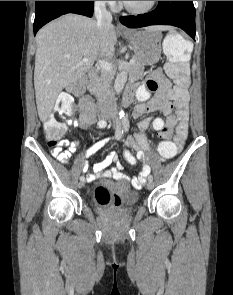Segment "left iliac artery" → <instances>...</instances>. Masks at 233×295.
Masks as SVG:
<instances>
[{
    "label": "left iliac artery",
    "mask_w": 233,
    "mask_h": 295,
    "mask_svg": "<svg viewBox=\"0 0 233 295\" xmlns=\"http://www.w3.org/2000/svg\"><path fill=\"white\" fill-rule=\"evenodd\" d=\"M122 123H123V128L125 131L129 130V121L127 117H123L122 119ZM148 180L149 181H153V177L151 175L148 176Z\"/></svg>",
    "instance_id": "left-iliac-artery-1"
}]
</instances>
